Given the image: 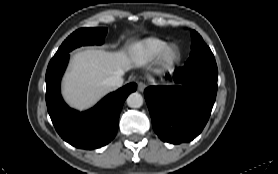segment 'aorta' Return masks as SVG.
<instances>
[{"mask_svg":"<svg viewBox=\"0 0 278 174\" xmlns=\"http://www.w3.org/2000/svg\"><path fill=\"white\" fill-rule=\"evenodd\" d=\"M126 101L130 108H140L143 105V97L137 92L130 94Z\"/></svg>","mask_w":278,"mask_h":174,"instance_id":"obj_1","label":"aorta"}]
</instances>
